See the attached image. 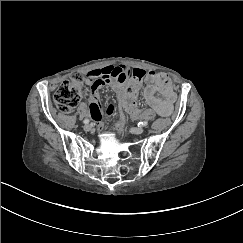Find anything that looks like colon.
I'll return each mask as SVG.
<instances>
[{
    "mask_svg": "<svg viewBox=\"0 0 243 243\" xmlns=\"http://www.w3.org/2000/svg\"><path fill=\"white\" fill-rule=\"evenodd\" d=\"M144 74L140 71H134L131 78L124 80V88L120 92V105L122 114L120 120L115 126L114 131L119 133L126 115L137 116L140 112L137 104L138 90L141 85ZM84 79V74L76 72L72 75L71 81H64L57 89L54 95V102L62 113H70L81 100L83 94L80 83Z\"/></svg>",
    "mask_w": 243,
    "mask_h": 243,
    "instance_id": "colon-1",
    "label": "colon"
}]
</instances>
